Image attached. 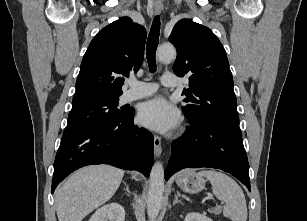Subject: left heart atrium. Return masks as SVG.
Listing matches in <instances>:
<instances>
[{"label": "left heart atrium", "instance_id": "1", "mask_svg": "<svg viewBox=\"0 0 307 221\" xmlns=\"http://www.w3.org/2000/svg\"><path fill=\"white\" fill-rule=\"evenodd\" d=\"M138 119L149 129L168 133L178 125L179 113L164 98L156 97L140 106Z\"/></svg>", "mask_w": 307, "mask_h": 221}]
</instances>
